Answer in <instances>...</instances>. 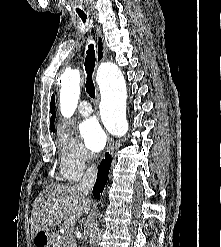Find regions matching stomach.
I'll return each mask as SVG.
<instances>
[{
	"label": "stomach",
	"mask_w": 221,
	"mask_h": 247,
	"mask_svg": "<svg viewBox=\"0 0 221 247\" xmlns=\"http://www.w3.org/2000/svg\"><path fill=\"white\" fill-rule=\"evenodd\" d=\"M54 237L49 230L38 231L32 238L34 247H51Z\"/></svg>",
	"instance_id": "1"
}]
</instances>
